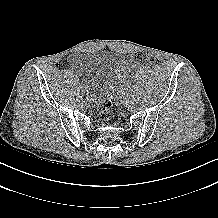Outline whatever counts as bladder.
<instances>
[{
    "label": "bladder",
    "mask_w": 218,
    "mask_h": 218,
    "mask_svg": "<svg viewBox=\"0 0 218 218\" xmlns=\"http://www.w3.org/2000/svg\"><path fill=\"white\" fill-rule=\"evenodd\" d=\"M87 91L92 100H104L121 79L120 61L113 52L83 53L78 55Z\"/></svg>",
    "instance_id": "bladder-1"
}]
</instances>
